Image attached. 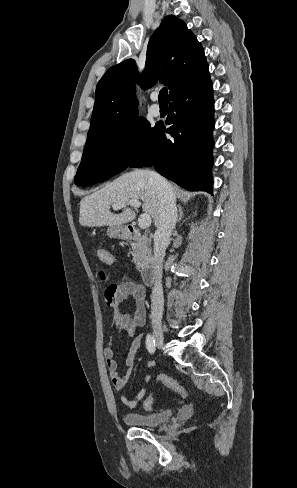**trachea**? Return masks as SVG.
<instances>
[{
    "label": "trachea",
    "instance_id": "3493384b",
    "mask_svg": "<svg viewBox=\"0 0 297 488\" xmlns=\"http://www.w3.org/2000/svg\"><path fill=\"white\" fill-rule=\"evenodd\" d=\"M159 104H168V89L162 88L159 93Z\"/></svg>",
    "mask_w": 297,
    "mask_h": 488
}]
</instances>
